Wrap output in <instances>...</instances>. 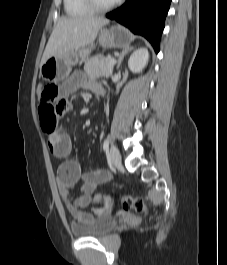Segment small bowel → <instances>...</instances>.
<instances>
[{
    "mask_svg": "<svg viewBox=\"0 0 227 265\" xmlns=\"http://www.w3.org/2000/svg\"><path fill=\"white\" fill-rule=\"evenodd\" d=\"M89 72H75L66 81H58L63 95H70L82 90L101 93L102 87L88 78ZM58 112H70L72 105L69 99H58ZM62 114V115H63ZM47 143L51 153L60 160L57 169V185L60 197L71 215L80 223H88L96 215L85 211L84 207L91 204L94 191L100 184L107 182L111 174L104 169L83 172L80 165L70 158L72 142L69 135L61 129L55 128L47 134ZM78 184L79 193L74 195L72 189Z\"/></svg>",
    "mask_w": 227,
    "mask_h": 265,
    "instance_id": "c3829d8e",
    "label": "small bowel"
}]
</instances>
